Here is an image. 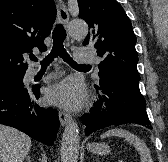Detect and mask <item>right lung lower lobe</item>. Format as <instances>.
<instances>
[{"instance_id":"98d812e1","label":"right lung lower lobe","mask_w":168,"mask_h":162,"mask_svg":"<svg viewBox=\"0 0 168 162\" xmlns=\"http://www.w3.org/2000/svg\"><path fill=\"white\" fill-rule=\"evenodd\" d=\"M40 86L24 88L15 81L0 86V124L17 128L33 139L52 145L59 129L55 109L40 107Z\"/></svg>"}]
</instances>
